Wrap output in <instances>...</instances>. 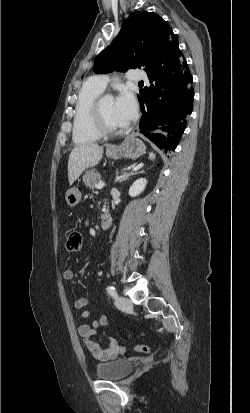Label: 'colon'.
<instances>
[{
	"mask_svg": "<svg viewBox=\"0 0 250 413\" xmlns=\"http://www.w3.org/2000/svg\"><path fill=\"white\" fill-rule=\"evenodd\" d=\"M66 250L69 252H77L82 247V234L78 230H70L65 241ZM133 349L140 353H149L151 347L148 345H135Z\"/></svg>",
	"mask_w": 250,
	"mask_h": 413,
	"instance_id": "1",
	"label": "colon"
}]
</instances>
